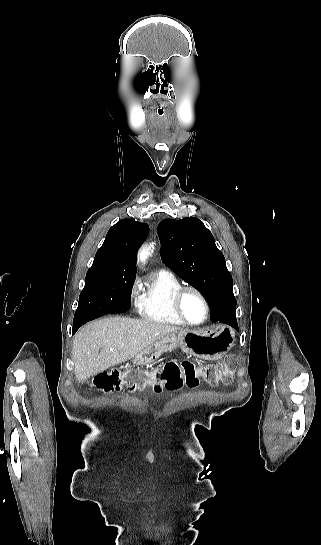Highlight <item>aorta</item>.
<instances>
[{"label":"aorta","instance_id":"obj_1","mask_svg":"<svg viewBox=\"0 0 321 545\" xmlns=\"http://www.w3.org/2000/svg\"><path fill=\"white\" fill-rule=\"evenodd\" d=\"M147 255H148V249H143L140 253V258L142 261H145V259L147 258Z\"/></svg>","mask_w":321,"mask_h":545}]
</instances>
